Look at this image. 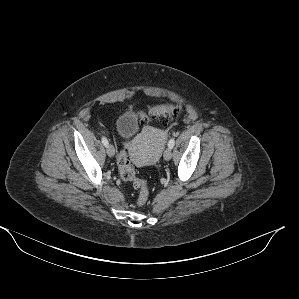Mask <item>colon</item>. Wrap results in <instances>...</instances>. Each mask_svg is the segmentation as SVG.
<instances>
[{
	"instance_id": "obj_1",
	"label": "colon",
	"mask_w": 299,
	"mask_h": 299,
	"mask_svg": "<svg viewBox=\"0 0 299 299\" xmlns=\"http://www.w3.org/2000/svg\"><path fill=\"white\" fill-rule=\"evenodd\" d=\"M180 108L173 104L155 105L149 109L147 113L140 116L142 124L148 123L151 119H155L163 124L171 121L178 113ZM119 172L123 180L132 182L135 189L139 190L138 204L142 205L148 198V187L144 180L136 177L135 170L130 163L126 153H121L118 158Z\"/></svg>"
}]
</instances>
